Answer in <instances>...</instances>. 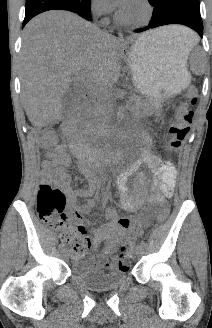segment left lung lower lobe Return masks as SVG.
<instances>
[{
	"label": "left lung lower lobe",
	"mask_w": 212,
	"mask_h": 328,
	"mask_svg": "<svg viewBox=\"0 0 212 328\" xmlns=\"http://www.w3.org/2000/svg\"><path fill=\"white\" fill-rule=\"evenodd\" d=\"M153 6V15L148 26L137 29L142 32L167 24H182L195 30L203 37V23L199 0H148Z\"/></svg>",
	"instance_id": "0a47b994"
}]
</instances>
